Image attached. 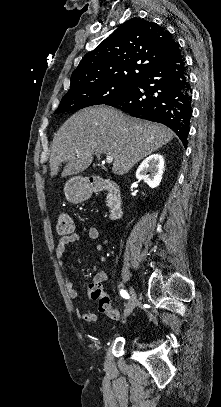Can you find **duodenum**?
<instances>
[{"mask_svg": "<svg viewBox=\"0 0 221 407\" xmlns=\"http://www.w3.org/2000/svg\"><path fill=\"white\" fill-rule=\"evenodd\" d=\"M90 188L95 192H107L109 201V220H116L122 216V198L120 186L117 183H92Z\"/></svg>", "mask_w": 221, "mask_h": 407, "instance_id": "1", "label": "duodenum"}]
</instances>
